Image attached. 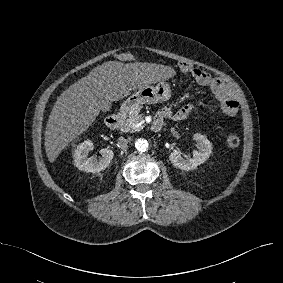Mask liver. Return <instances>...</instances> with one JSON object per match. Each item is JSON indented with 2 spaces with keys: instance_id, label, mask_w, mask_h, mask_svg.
I'll return each instance as SVG.
<instances>
[{
  "instance_id": "1",
  "label": "liver",
  "mask_w": 283,
  "mask_h": 283,
  "mask_svg": "<svg viewBox=\"0 0 283 283\" xmlns=\"http://www.w3.org/2000/svg\"><path fill=\"white\" fill-rule=\"evenodd\" d=\"M175 71L155 63L108 61L70 85L57 99L45 130V151L53 163L70 142L82 135L100 111H109L112 102L132 90L166 80Z\"/></svg>"
}]
</instances>
